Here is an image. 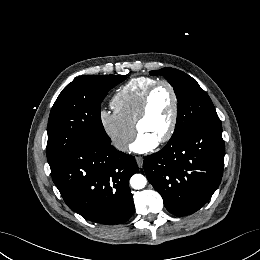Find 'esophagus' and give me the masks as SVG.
Returning a JSON list of instances; mask_svg holds the SVG:
<instances>
[{
  "label": "esophagus",
  "mask_w": 260,
  "mask_h": 260,
  "mask_svg": "<svg viewBox=\"0 0 260 260\" xmlns=\"http://www.w3.org/2000/svg\"><path fill=\"white\" fill-rule=\"evenodd\" d=\"M136 162H137L138 167L142 168V166H143V158L140 157V156H137L136 157Z\"/></svg>",
  "instance_id": "obj_1"
}]
</instances>
